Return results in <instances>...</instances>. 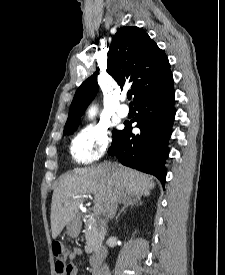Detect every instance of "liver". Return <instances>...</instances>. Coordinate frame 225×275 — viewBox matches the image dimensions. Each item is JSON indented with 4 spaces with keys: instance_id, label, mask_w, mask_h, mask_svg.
Segmentation results:
<instances>
[{
    "instance_id": "1",
    "label": "liver",
    "mask_w": 225,
    "mask_h": 275,
    "mask_svg": "<svg viewBox=\"0 0 225 275\" xmlns=\"http://www.w3.org/2000/svg\"><path fill=\"white\" fill-rule=\"evenodd\" d=\"M119 180L124 200L131 195L148 196L155 183L152 177L131 168L111 163H102L90 168L76 170L62 176L54 188L51 202L52 238H56L65 225L79 213L83 196L94 195L96 205H104L112 191L113 183Z\"/></svg>"
}]
</instances>
